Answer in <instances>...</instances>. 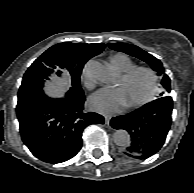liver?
Returning <instances> with one entry per match:
<instances>
[{
	"label": "liver",
	"mask_w": 194,
	"mask_h": 193,
	"mask_svg": "<svg viewBox=\"0 0 194 193\" xmlns=\"http://www.w3.org/2000/svg\"><path fill=\"white\" fill-rule=\"evenodd\" d=\"M68 84V80L65 79L64 81L56 79L54 80V84L50 85L46 88V92L52 96H62L63 91L65 90L66 85Z\"/></svg>",
	"instance_id": "6515ba94"
}]
</instances>
